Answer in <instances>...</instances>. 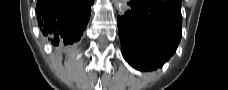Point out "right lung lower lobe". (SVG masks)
<instances>
[{
  "label": "right lung lower lobe",
  "mask_w": 228,
  "mask_h": 90,
  "mask_svg": "<svg viewBox=\"0 0 228 90\" xmlns=\"http://www.w3.org/2000/svg\"><path fill=\"white\" fill-rule=\"evenodd\" d=\"M92 3L93 0H38V25L54 46L66 50L85 30Z\"/></svg>",
  "instance_id": "obj_1"
}]
</instances>
